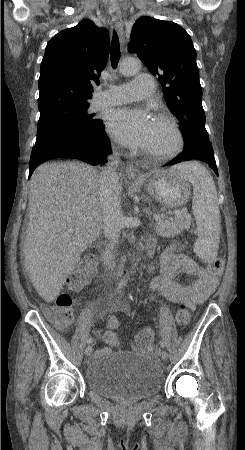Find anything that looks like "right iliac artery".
<instances>
[{
	"label": "right iliac artery",
	"instance_id": "1",
	"mask_svg": "<svg viewBox=\"0 0 245 450\" xmlns=\"http://www.w3.org/2000/svg\"><path fill=\"white\" fill-rule=\"evenodd\" d=\"M125 282H126V278H124V279L120 282V284H119V286H118V288H117V292L120 291V289L123 287V285L125 284ZM87 343H88V344L92 343V338H91V337L88 338Z\"/></svg>",
	"mask_w": 245,
	"mask_h": 450
}]
</instances>
